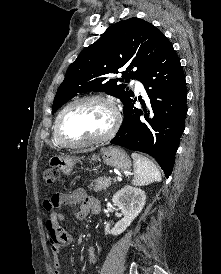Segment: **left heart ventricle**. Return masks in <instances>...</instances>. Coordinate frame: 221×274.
<instances>
[{
	"instance_id": "b2bd125f",
	"label": "left heart ventricle",
	"mask_w": 221,
	"mask_h": 274,
	"mask_svg": "<svg viewBox=\"0 0 221 274\" xmlns=\"http://www.w3.org/2000/svg\"><path fill=\"white\" fill-rule=\"evenodd\" d=\"M110 108L99 102L73 106L62 120V133L72 141L87 140L105 134L112 124Z\"/></svg>"
}]
</instances>
